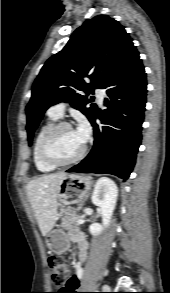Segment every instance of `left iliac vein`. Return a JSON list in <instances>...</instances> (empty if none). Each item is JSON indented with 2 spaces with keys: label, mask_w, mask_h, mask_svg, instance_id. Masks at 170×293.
Masks as SVG:
<instances>
[{
  "label": "left iliac vein",
  "mask_w": 170,
  "mask_h": 293,
  "mask_svg": "<svg viewBox=\"0 0 170 293\" xmlns=\"http://www.w3.org/2000/svg\"><path fill=\"white\" fill-rule=\"evenodd\" d=\"M103 288L108 289L109 288V285H104Z\"/></svg>",
  "instance_id": "obj_1"
}]
</instances>
